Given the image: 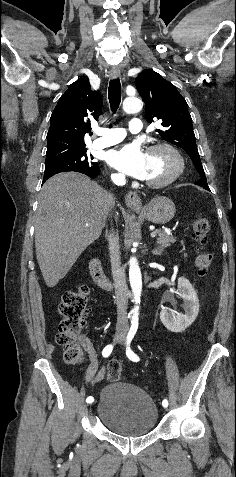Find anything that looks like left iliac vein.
<instances>
[{
	"label": "left iliac vein",
	"mask_w": 236,
	"mask_h": 477,
	"mask_svg": "<svg viewBox=\"0 0 236 477\" xmlns=\"http://www.w3.org/2000/svg\"><path fill=\"white\" fill-rule=\"evenodd\" d=\"M120 343H121V344H124V343H125V342H124V338H123V340L120 341ZM162 409H163V412H164L165 414H168V413L170 412V409H169L168 406L165 405V404L163 405V408H162Z\"/></svg>",
	"instance_id": "left-iliac-vein-1"
}]
</instances>
